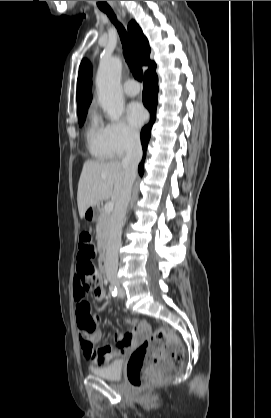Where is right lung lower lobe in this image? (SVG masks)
<instances>
[{
    "label": "right lung lower lobe",
    "mask_w": 271,
    "mask_h": 418,
    "mask_svg": "<svg viewBox=\"0 0 271 418\" xmlns=\"http://www.w3.org/2000/svg\"><path fill=\"white\" fill-rule=\"evenodd\" d=\"M156 67L148 70L144 77L143 103L151 114L150 122L142 128L141 143L144 151L142 162L139 164V174L142 176L144 172L143 163L146 155V148L150 139L151 128L156 119L157 93H158V77L155 73Z\"/></svg>",
    "instance_id": "1"
}]
</instances>
